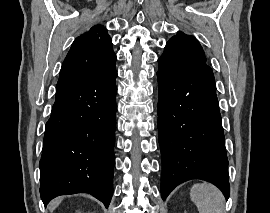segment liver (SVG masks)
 <instances>
[{
  "instance_id": "6515ba94",
  "label": "liver",
  "mask_w": 270,
  "mask_h": 213,
  "mask_svg": "<svg viewBox=\"0 0 270 213\" xmlns=\"http://www.w3.org/2000/svg\"><path fill=\"white\" fill-rule=\"evenodd\" d=\"M61 200V198L53 200L49 205L50 210L53 211L60 204Z\"/></svg>"
}]
</instances>
